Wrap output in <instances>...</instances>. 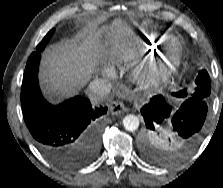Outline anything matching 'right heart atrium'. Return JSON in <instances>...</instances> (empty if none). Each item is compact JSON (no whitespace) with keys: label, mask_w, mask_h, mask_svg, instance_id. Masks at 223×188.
Wrapping results in <instances>:
<instances>
[{"label":"right heart atrium","mask_w":223,"mask_h":188,"mask_svg":"<svg viewBox=\"0 0 223 188\" xmlns=\"http://www.w3.org/2000/svg\"><path fill=\"white\" fill-rule=\"evenodd\" d=\"M112 72L111 71H106V76H111Z\"/></svg>","instance_id":"d8ad5b80"}]
</instances>
